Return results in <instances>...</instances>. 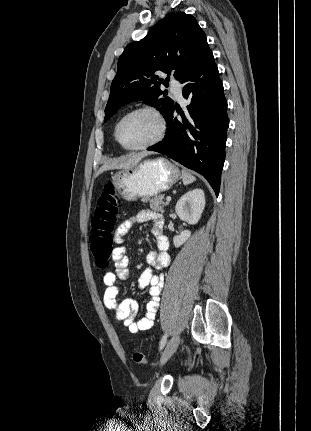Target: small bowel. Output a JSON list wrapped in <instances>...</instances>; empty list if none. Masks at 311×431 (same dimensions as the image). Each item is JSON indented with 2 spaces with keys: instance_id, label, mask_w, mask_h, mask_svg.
Returning <instances> with one entry per match:
<instances>
[{
  "instance_id": "c3829d8e",
  "label": "small bowel",
  "mask_w": 311,
  "mask_h": 431,
  "mask_svg": "<svg viewBox=\"0 0 311 431\" xmlns=\"http://www.w3.org/2000/svg\"><path fill=\"white\" fill-rule=\"evenodd\" d=\"M151 221V234L153 235L157 250L147 255L148 268L138 280L140 288L149 287L150 301L147 303L146 314L136 319L138 304L132 299H119L120 288L117 281L128 277V257L124 245V236L137 223ZM164 220L160 213L143 209L137 214L126 218L115 233L116 247L113 251L115 270L107 272L104 276L106 285L104 304L114 314L116 321L121 322L130 333L150 330L155 323L160 307V294L163 288V278L155 274L170 263L168 254L169 240L163 231Z\"/></svg>"
}]
</instances>
